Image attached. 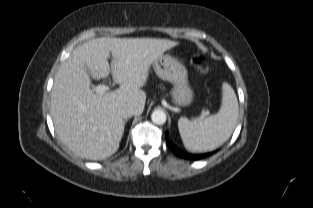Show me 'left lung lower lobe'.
Listing matches in <instances>:
<instances>
[{
    "label": "left lung lower lobe",
    "mask_w": 313,
    "mask_h": 208,
    "mask_svg": "<svg viewBox=\"0 0 313 208\" xmlns=\"http://www.w3.org/2000/svg\"><path fill=\"white\" fill-rule=\"evenodd\" d=\"M167 140V145L168 147L179 157L184 158V159H189V160H196V159H201L204 158L206 156H209L210 154H200V155H192V154H187V153H183L180 152L178 150H176L169 142V140L166 138Z\"/></svg>",
    "instance_id": "obj_1"
}]
</instances>
